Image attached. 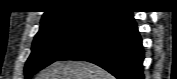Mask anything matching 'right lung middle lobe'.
I'll return each mask as SVG.
<instances>
[{
    "label": "right lung middle lobe",
    "instance_id": "obj_1",
    "mask_svg": "<svg viewBox=\"0 0 177 79\" xmlns=\"http://www.w3.org/2000/svg\"><path fill=\"white\" fill-rule=\"evenodd\" d=\"M101 18V15H92L41 26L25 65L26 79L79 44L97 26Z\"/></svg>",
    "mask_w": 177,
    "mask_h": 79
}]
</instances>
